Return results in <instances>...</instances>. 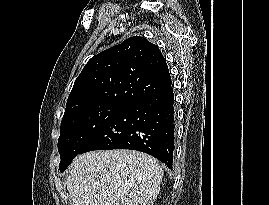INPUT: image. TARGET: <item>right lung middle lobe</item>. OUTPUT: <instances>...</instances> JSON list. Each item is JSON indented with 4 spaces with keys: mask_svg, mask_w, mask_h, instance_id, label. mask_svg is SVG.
<instances>
[{
    "mask_svg": "<svg viewBox=\"0 0 269 205\" xmlns=\"http://www.w3.org/2000/svg\"><path fill=\"white\" fill-rule=\"evenodd\" d=\"M127 106L121 103H97L84 106L63 116L58 151L63 172L85 145L118 113Z\"/></svg>",
    "mask_w": 269,
    "mask_h": 205,
    "instance_id": "dd1d6c3e",
    "label": "right lung middle lobe"
}]
</instances>
